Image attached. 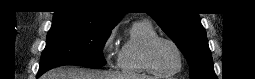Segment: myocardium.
Listing matches in <instances>:
<instances>
[{
    "label": "myocardium",
    "mask_w": 255,
    "mask_h": 79,
    "mask_svg": "<svg viewBox=\"0 0 255 79\" xmlns=\"http://www.w3.org/2000/svg\"><path fill=\"white\" fill-rule=\"evenodd\" d=\"M161 41L171 44L178 54L179 64H178V67L173 71H162V70L158 69L152 61V50H153L154 46L158 42H161ZM143 61H144L146 68L153 74L174 75L182 70L183 65H184V56H183V52H182L181 48L174 40L164 37V36H155L154 38L149 40L147 42V44L145 45L144 52H143Z\"/></svg>",
    "instance_id": "myocardium-1"
}]
</instances>
